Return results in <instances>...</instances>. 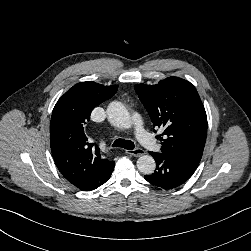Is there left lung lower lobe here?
I'll return each instance as SVG.
<instances>
[{
  "label": "left lung lower lobe",
  "mask_w": 251,
  "mask_h": 251,
  "mask_svg": "<svg viewBox=\"0 0 251 251\" xmlns=\"http://www.w3.org/2000/svg\"><path fill=\"white\" fill-rule=\"evenodd\" d=\"M150 154L156 161V171L151 175H145L144 178L151 184L163 189L180 186L193 175L196 169L160 153L150 152Z\"/></svg>",
  "instance_id": "left-lung-lower-lobe-1"
}]
</instances>
